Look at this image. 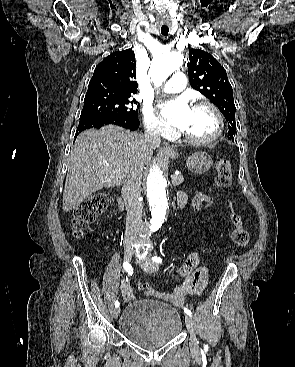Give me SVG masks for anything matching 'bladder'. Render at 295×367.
I'll return each instance as SVG.
<instances>
[{"label": "bladder", "mask_w": 295, "mask_h": 367, "mask_svg": "<svg viewBox=\"0 0 295 367\" xmlns=\"http://www.w3.org/2000/svg\"><path fill=\"white\" fill-rule=\"evenodd\" d=\"M122 334L145 348H156L171 342L182 329L179 312L155 299H138L129 303L120 318Z\"/></svg>", "instance_id": "1"}]
</instances>
